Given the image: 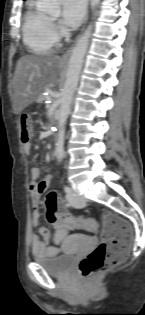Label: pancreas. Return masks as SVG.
I'll use <instances>...</instances> for the list:
<instances>
[{
  "mask_svg": "<svg viewBox=\"0 0 145 315\" xmlns=\"http://www.w3.org/2000/svg\"><path fill=\"white\" fill-rule=\"evenodd\" d=\"M48 97H46V96H41L40 97V99L42 100V101H44V100H46Z\"/></svg>",
  "mask_w": 145,
  "mask_h": 315,
  "instance_id": "pancreas-1",
  "label": "pancreas"
}]
</instances>
